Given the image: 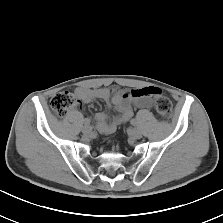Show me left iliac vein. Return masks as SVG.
I'll return each mask as SVG.
<instances>
[{
    "label": "left iliac vein",
    "mask_w": 223,
    "mask_h": 223,
    "mask_svg": "<svg viewBox=\"0 0 223 223\" xmlns=\"http://www.w3.org/2000/svg\"><path fill=\"white\" fill-rule=\"evenodd\" d=\"M129 135L132 139H140L142 132L138 128H132L129 130Z\"/></svg>",
    "instance_id": "4c4485c4"
}]
</instances>
